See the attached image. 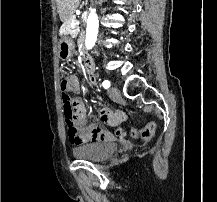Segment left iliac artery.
<instances>
[{
	"instance_id": "obj_1",
	"label": "left iliac artery",
	"mask_w": 217,
	"mask_h": 202,
	"mask_svg": "<svg viewBox=\"0 0 217 202\" xmlns=\"http://www.w3.org/2000/svg\"><path fill=\"white\" fill-rule=\"evenodd\" d=\"M102 85L105 89H108L110 87V81L105 80V81H103Z\"/></svg>"
}]
</instances>
